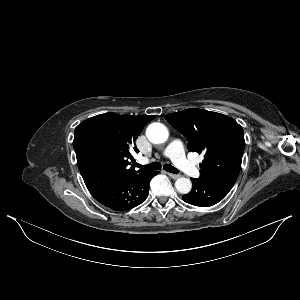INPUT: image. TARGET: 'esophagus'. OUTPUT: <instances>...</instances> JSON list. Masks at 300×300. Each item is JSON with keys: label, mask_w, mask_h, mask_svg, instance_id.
Listing matches in <instances>:
<instances>
[{"label": "esophagus", "mask_w": 300, "mask_h": 300, "mask_svg": "<svg viewBox=\"0 0 300 300\" xmlns=\"http://www.w3.org/2000/svg\"><path fill=\"white\" fill-rule=\"evenodd\" d=\"M169 177H171L172 179H178L180 177L179 174H173V173H168Z\"/></svg>", "instance_id": "34e87169"}]
</instances>
